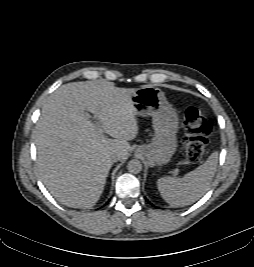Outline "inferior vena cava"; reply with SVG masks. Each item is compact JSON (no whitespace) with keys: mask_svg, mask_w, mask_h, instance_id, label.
Instances as JSON below:
<instances>
[{"mask_svg":"<svg viewBox=\"0 0 254 267\" xmlns=\"http://www.w3.org/2000/svg\"><path fill=\"white\" fill-rule=\"evenodd\" d=\"M117 160H118V156H113V157H112V161H113V162H116Z\"/></svg>","mask_w":254,"mask_h":267,"instance_id":"1","label":"inferior vena cava"}]
</instances>
